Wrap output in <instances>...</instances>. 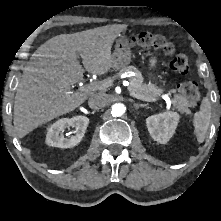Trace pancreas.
<instances>
[{"label": "pancreas", "instance_id": "obj_1", "mask_svg": "<svg viewBox=\"0 0 221 221\" xmlns=\"http://www.w3.org/2000/svg\"><path fill=\"white\" fill-rule=\"evenodd\" d=\"M129 71H133L136 74V77L129 78L130 85L128 87V90L131 93H135L138 98H154L162 92V89L158 88L154 84L143 83V77L140 71L134 66H128V67L122 68L116 76H114L113 78H109L106 81L107 86H110L112 82L121 74L125 72H129ZM173 104L178 109L179 112L190 114V110H189L190 103L182 95L176 94L174 96Z\"/></svg>", "mask_w": 221, "mask_h": 221}]
</instances>
